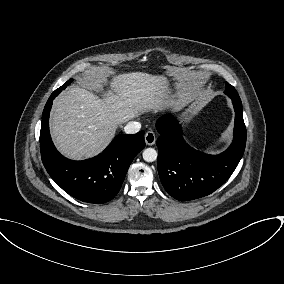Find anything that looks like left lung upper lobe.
Segmentation results:
<instances>
[{
  "label": "left lung upper lobe",
  "instance_id": "obj_1",
  "mask_svg": "<svg viewBox=\"0 0 284 284\" xmlns=\"http://www.w3.org/2000/svg\"><path fill=\"white\" fill-rule=\"evenodd\" d=\"M226 85V89H225V94L228 95L231 99H237V100H240V97L236 91V89L230 85L229 83H225Z\"/></svg>",
  "mask_w": 284,
  "mask_h": 284
}]
</instances>
